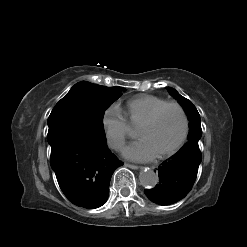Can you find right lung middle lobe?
Here are the masks:
<instances>
[{"label":"right lung middle lobe","instance_id":"right-lung-middle-lobe-1","mask_svg":"<svg viewBox=\"0 0 247 247\" xmlns=\"http://www.w3.org/2000/svg\"><path fill=\"white\" fill-rule=\"evenodd\" d=\"M123 89L86 81L79 82L53 108L48 118V126L74 124L105 141L103 130L105 110L122 95Z\"/></svg>","mask_w":247,"mask_h":247}]
</instances>
